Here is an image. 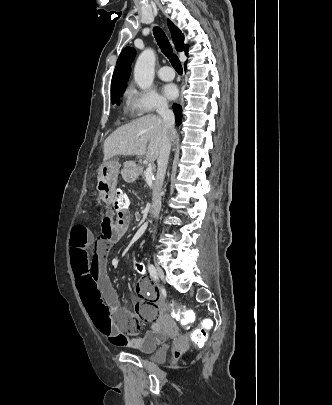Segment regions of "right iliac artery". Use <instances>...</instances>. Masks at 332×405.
Instances as JSON below:
<instances>
[{
	"label": "right iliac artery",
	"mask_w": 332,
	"mask_h": 405,
	"mask_svg": "<svg viewBox=\"0 0 332 405\" xmlns=\"http://www.w3.org/2000/svg\"><path fill=\"white\" fill-rule=\"evenodd\" d=\"M148 271L150 276L154 279V280H158V276L155 270V267L153 265H148Z\"/></svg>",
	"instance_id": "obj_1"
}]
</instances>
